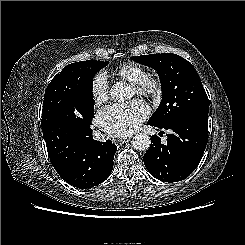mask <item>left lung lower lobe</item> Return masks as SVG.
Listing matches in <instances>:
<instances>
[{
	"label": "left lung lower lobe",
	"mask_w": 245,
	"mask_h": 245,
	"mask_svg": "<svg viewBox=\"0 0 245 245\" xmlns=\"http://www.w3.org/2000/svg\"><path fill=\"white\" fill-rule=\"evenodd\" d=\"M147 124L173 130V134L167 135L165 145L157 135L151 136V146L144 155L147 170L165 182L187 178L198 166L207 145L208 114L195 113L164 127L149 121Z\"/></svg>",
	"instance_id": "0a47b994"
}]
</instances>
